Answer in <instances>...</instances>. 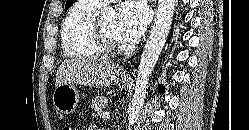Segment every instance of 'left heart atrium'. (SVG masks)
<instances>
[{"label": "left heart atrium", "instance_id": "1", "mask_svg": "<svg viewBox=\"0 0 249 130\" xmlns=\"http://www.w3.org/2000/svg\"><path fill=\"white\" fill-rule=\"evenodd\" d=\"M149 12L141 1H125L118 11L116 33L118 40L126 45L135 43L147 28Z\"/></svg>", "mask_w": 249, "mask_h": 130}]
</instances>
